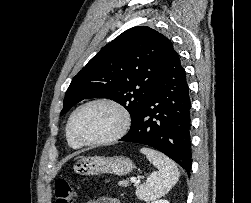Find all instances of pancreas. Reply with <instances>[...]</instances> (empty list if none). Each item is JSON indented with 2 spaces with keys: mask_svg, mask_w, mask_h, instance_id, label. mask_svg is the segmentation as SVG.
Returning a JSON list of instances; mask_svg holds the SVG:
<instances>
[{
  "mask_svg": "<svg viewBox=\"0 0 251 203\" xmlns=\"http://www.w3.org/2000/svg\"><path fill=\"white\" fill-rule=\"evenodd\" d=\"M119 185H120V186H124V187H126V186H128V185H129V181H128V180H123V181H120V182H119Z\"/></svg>",
  "mask_w": 251,
  "mask_h": 203,
  "instance_id": "cf45deb5",
  "label": "pancreas"
}]
</instances>
